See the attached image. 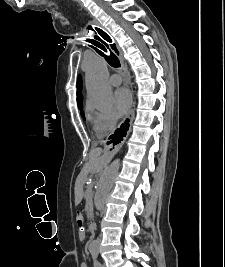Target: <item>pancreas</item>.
<instances>
[{"label":"pancreas","mask_w":225,"mask_h":267,"mask_svg":"<svg viewBox=\"0 0 225 267\" xmlns=\"http://www.w3.org/2000/svg\"><path fill=\"white\" fill-rule=\"evenodd\" d=\"M85 200H86L87 211H91V204H92L91 187H89V188L86 189V192H85Z\"/></svg>","instance_id":"1"}]
</instances>
